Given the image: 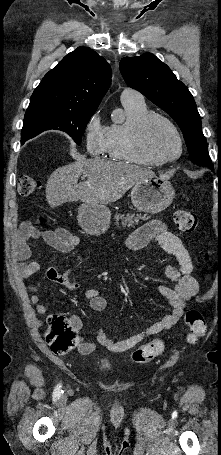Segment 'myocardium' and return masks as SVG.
I'll use <instances>...</instances> for the list:
<instances>
[{"instance_id":"myocardium-1","label":"myocardium","mask_w":221,"mask_h":455,"mask_svg":"<svg viewBox=\"0 0 221 455\" xmlns=\"http://www.w3.org/2000/svg\"><path fill=\"white\" fill-rule=\"evenodd\" d=\"M158 120L166 123L171 128V130L173 131L177 138L179 150L177 155L174 157L171 158L158 157L152 152V150L149 148L147 144V133L149 127L152 125V123ZM132 143L134 148L139 153L146 156L155 164H166L174 162L181 157L184 150L183 138L176 124L167 116L153 112L145 115L135 124L132 132Z\"/></svg>"}]
</instances>
